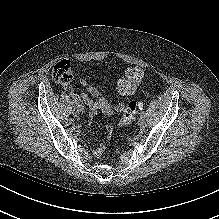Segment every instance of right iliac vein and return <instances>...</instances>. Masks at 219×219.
<instances>
[{
  "label": "right iliac vein",
  "instance_id": "obj_1",
  "mask_svg": "<svg viewBox=\"0 0 219 219\" xmlns=\"http://www.w3.org/2000/svg\"><path fill=\"white\" fill-rule=\"evenodd\" d=\"M80 111H81L80 108H78V107H74V109H73V116H74V117H78Z\"/></svg>",
  "mask_w": 219,
  "mask_h": 219
}]
</instances>
